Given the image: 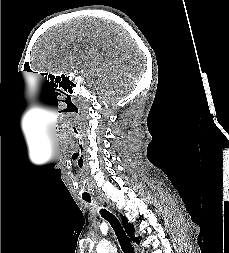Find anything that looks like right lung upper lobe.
I'll list each match as a JSON object with an SVG mask.
<instances>
[{"label":"right lung upper lobe","mask_w":229,"mask_h":253,"mask_svg":"<svg viewBox=\"0 0 229 253\" xmlns=\"http://www.w3.org/2000/svg\"><path fill=\"white\" fill-rule=\"evenodd\" d=\"M122 223H123V226H124L127 234L129 235L130 239L133 242L139 243V238H136L134 236V226L127 222V219L125 216H122Z\"/></svg>","instance_id":"cb5924a9"}]
</instances>
